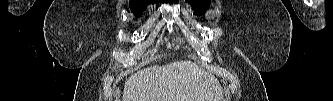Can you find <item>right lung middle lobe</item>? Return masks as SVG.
I'll list each match as a JSON object with an SVG mask.
<instances>
[{"label": "right lung middle lobe", "instance_id": "right-lung-middle-lobe-1", "mask_svg": "<svg viewBox=\"0 0 333 101\" xmlns=\"http://www.w3.org/2000/svg\"><path fill=\"white\" fill-rule=\"evenodd\" d=\"M150 2L147 1H134L130 2V8L133 13H135L137 16H141L142 11L147 7V5ZM156 3V2H154Z\"/></svg>", "mask_w": 333, "mask_h": 101}]
</instances>
